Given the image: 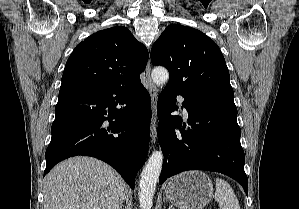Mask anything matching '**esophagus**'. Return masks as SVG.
Segmentation results:
<instances>
[{"label":"esophagus","instance_id":"34e87169","mask_svg":"<svg viewBox=\"0 0 299 209\" xmlns=\"http://www.w3.org/2000/svg\"><path fill=\"white\" fill-rule=\"evenodd\" d=\"M145 76H146V82H147V89L151 97L152 102V117H151V142L155 143L156 136H157V109H156V103H157V96H158V90L156 85L153 83L151 79V63L150 60L147 63L146 69H145Z\"/></svg>","mask_w":299,"mask_h":209}]
</instances>
